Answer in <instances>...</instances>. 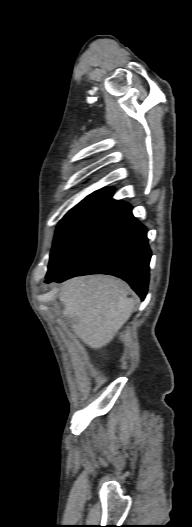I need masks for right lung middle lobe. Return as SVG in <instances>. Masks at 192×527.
Wrapping results in <instances>:
<instances>
[{"instance_id": "obj_1", "label": "right lung middle lobe", "mask_w": 192, "mask_h": 527, "mask_svg": "<svg viewBox=\"0 0 192 527\" xmlns=\"http://www.w3.org/2000/svg\"><path fill=\"white\" fill-rule=\"evenodd\" d=\"M100 191L101 190L95 191L94 193L87 196L64 216V218L59 222V225L57 227L53 241V247L56 245V243L64 234V232L68 229V227L73 223V221L77 219L80 214L91 204V202L95 199V197Z\"/></svg>"}]
</instances>
